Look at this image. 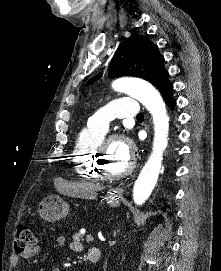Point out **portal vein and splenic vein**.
<instances>
[{
    "label": "portal vein and splenic vein",
    "mask_w": 221,
    "mask_h": 271,
    "mask_svg": "<svg viewBox=\"0 0 221 271\" xmlns=\"http://www.w3.org/2000/svg\"><path fill=\"white\" fill-rule=\"evenodd\" d=\"M94 234H87V237L84 238L85 242H94Z\"/></svg>",
    "instance_id": "18ae733b"
}]
</instances>
